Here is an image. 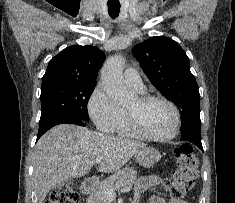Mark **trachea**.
<instances>
[{"label": "trachea", "instance_id": "1", "mask_svg": "<svg viewBox=\"0 0 235 203\" xmlns=\"http://www.w3.org/2000/svg\"><path fill=\"white\" fill-rule=\"evenodd\" d=\"M108 13L111 18H116L120 13V4H108Z\"/></svg>", "mask_w": 235, "mask_h": 203}]
</instances>
